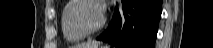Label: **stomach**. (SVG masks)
I'll list each match as a JSON object with an SVG mask.
<instances>
[{
	"instance_id": "0dacf381",
	"label": "stomach",
	"mask_w": 213,
	"mask_h": 48,
	"mask_svg": "<svg viewBox=\"0 0 213 48\" xmlns=\"http://www.w3.org/2000/svg\"><path fill=\"white\" fill-rule=\"evenodd\" d=\"M97 48H109V47H107V46H99V47H97Z\"/></svg>"
}]
</instances>
